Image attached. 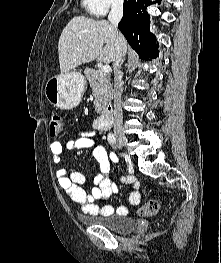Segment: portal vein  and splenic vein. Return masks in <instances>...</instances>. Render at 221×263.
<instances>
[{"label":"portal vein and splenic vein","mask_w":221,"mask_h":263,"mask_svg":"<svg viewBox=\"0 0 221 263\" xmlns=\"http://www.w3.org/2000/svg\"><path fill=\"white\" fill-rule=\"evenodd\" d=\"M111 70V67L109 65H103L102 68H101V73H109Z\"/></svg>","instance_id":"obj_1"}]
</instances>
